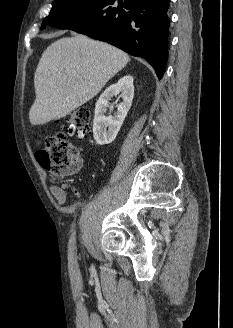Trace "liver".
Segmentation results:
<instances>
[{"label":"liver","instance_id":"6515ba94","mask_svg":"<svg viewBox=\"0 0 233 328\" xmlns=\"http://www.w3.org/2000/svg\"><path fill=\"white\" fill-rule=\"evenodd\" d=\"M129 60L122 50L85 35L55 41L36 68L30 123L41 125L70 114L96 96Z\"/></svg>","mask_w":233,"mask_h":328}]
</instances>
